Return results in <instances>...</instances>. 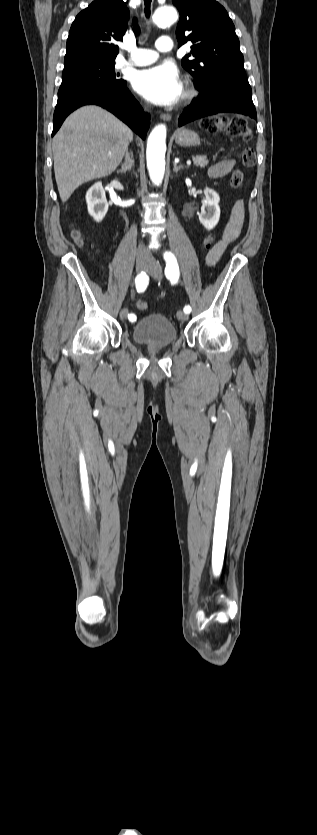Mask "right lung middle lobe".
I'll use <instances>...</instances> for the list:
<instances>
[{
    "mask_svg": "<svg viewBox=\"0 0 317 835\" xmlns=\"http://www.w3.org/2000/svg\"><path fill=\"white\" fill-rule=\"evenodd\" d=\"M115 62L98 59H74L64 63L62 83L58 95H63L94 85H126V81L114 73Z\"/></svg>",
    "mask_w": 317,
    "mask_h": 835,
    "instance_id": "obj_1",
    "label": "right lung middle lobe"
}]
</instances>
